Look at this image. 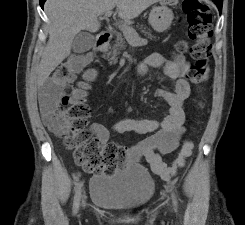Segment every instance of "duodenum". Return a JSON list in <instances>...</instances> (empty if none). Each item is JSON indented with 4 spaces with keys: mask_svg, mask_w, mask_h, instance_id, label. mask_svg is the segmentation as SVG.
Returning a JSON list of instances; mask_svg holds the SVG:
<instances>
[{
    "mask_svg": "<svg viewBox=\"0 0 245 225\" xmlns=\"http://www.w3.org/2000/svg\"><path fill=\"white\" fill-rule=\"evenodd\" d=\"M111 40V33L108 31H102L97 34L96 47L99 51L106 49Z\"/></svg>",
    "mask_w": 245,
    "mask_h": 225,
    "instance_id": "duodenum-1",
    "label": "duodenum"
}]
</instances>
